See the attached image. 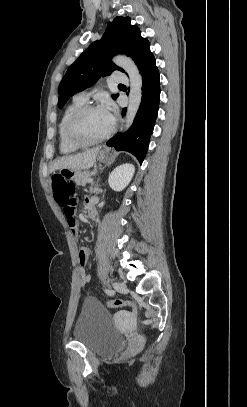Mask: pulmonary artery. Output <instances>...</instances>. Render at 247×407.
Masks as SVG:
<instances>
[{
    "instance_id": "pulmonary-artery-1",
    "label": "pulmonary artery",
    "mask_w": 247,
    "mask_h": 407,
    "mask_svg": "<svg viewBox=\"0 0 247 407\" xmlns=\"http://www.w3.org/2000/svg\"><path fill=\"white\" fill-rule=\"evenodd\" d=\"M111 81L115 82V83H127L128 82V77L126 74H123L121 72H113L112 76H111ZM89 97V94L85 91L78 93L75 98L82 100V101H86Z\"/></svg>"
}]
</instances>
